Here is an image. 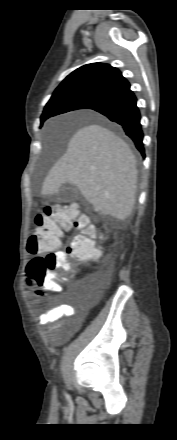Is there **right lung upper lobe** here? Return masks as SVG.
<instances>
[{"label": "right lung upper lobe", "mask_w": 177, "mask_h": 440, "mask_svg": "<svg viewBox=\"0 0 177 440\" xmlns=\"http://www.w3.org/2000/svg\"><path fill=\"white\" fill-rule=\"evenodd\" d=\"M128 86H130L128 81L117 68L109 64L92 63L84 65L69 74L57 87L53 95L64 92H77L98 100Z\"/></svg>", "instance_id": "right-lung-upper-lobe-1"}]
</instances>
